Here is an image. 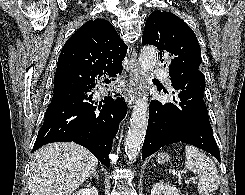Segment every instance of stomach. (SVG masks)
Instances as JSON below:
<instances>
[{
    "instance_id": "stomach-1",
    "label": "stomach",
    "mask_w": 245,
    "mask_h": 195,
    "mask_svg": "<svg viewBox=\"0 0 245 195\" xmlns=\"http://www.w3.org/2000/svg\"><path fill=\"white\" fill-rule=\"evenodd\" d=\"M169 160H170V157L167 153H164V152L158 153L157 155L158 163H165V162H168Z\"/></svg>"
}]
</instances>
